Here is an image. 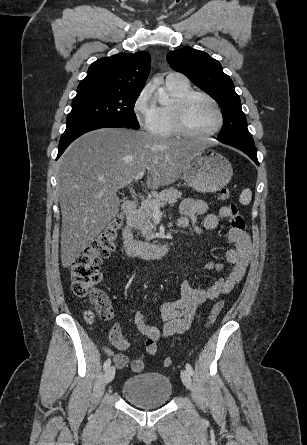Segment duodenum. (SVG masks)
<instances>
[{
    "label": "duodenum",
    "instance_id": "410a0bca",
    "mask_svg": "<svg viewBox=\"0 0 307 445\" xmlns=\"http://www.w3.org/2000/svg\"><path fill=\"white\" fill-rule=\"evenodd\" d=\"M137 210L135 201H126L123 205V214L126 219V226L122 231V244L127 255L142 256L147 258H160L170 251L169 243H150L134 238L131 225Z\"/></svg>",
    "mask_w": 307,
    "mask_h": 445
}]
</instances>
